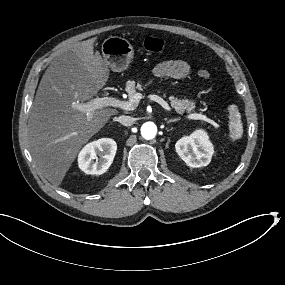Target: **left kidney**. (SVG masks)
<instances>
[{
	"label": "left kidney",
	"instance_id": "5707ae66",
	"mask_svg": "<svg viewBox=\"0 0 285 285\" xmlns=\"http://www.w3.org/2000/svg\"><path fill=\"white\" fill-rule=\"evenodd\" d=\"M176 151L190 167L207 166L213 155L211 143L202 131L184 137L176 143Z\"/></svg>",
	"mask_w": 285,
	"mask_h": 285
}]
</instances>
